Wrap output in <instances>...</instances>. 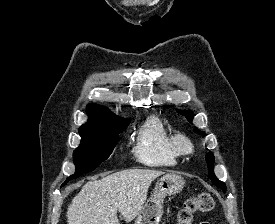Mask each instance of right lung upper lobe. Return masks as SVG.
<instances>
[{
  "label": "right lung upper lobe",
  "instance_id": "1",
  "mask_svg": "<svg viewBox=\"0 0 275 224\" xmlns=\"http://www.w3.org/2000/svg\"><path fill=\"white\" fill-rule=\"evenodd\" d=\"M87 114L89 119L80 128L105 127L130 121V119L119 118L105 107L96 104H89L87 106Z\"/></svg>",
  "mask_w": 275,
  "mask_h": 224
}]
</instances>
